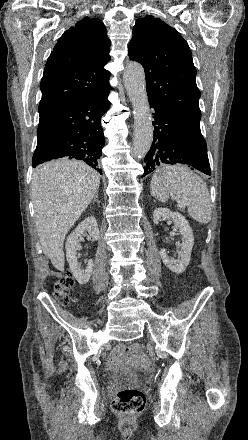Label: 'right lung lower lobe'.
Returning a JSON list of instances; mask_svg holds the SVG:
<instances>
[{
    "label": "right lung lower lobe",
    "mask_w": 248,
    "mask_h": 440,
    "mask_svg": "<svg viewBox=\"0 0 248 440\" xmlns=\"http://www.w3.org/2000/svg\"><path fill=\"white\" fill-rule=\"evenodd\" d=\"M110 87L97 95L79 97L40 114L37 147L32 165L69 157L82 160L101 173L105 138L101 117L109 109Z\"/></svg>",
    "instance_id": "right-lung-lower-lobe-1"
}]
</instances>
